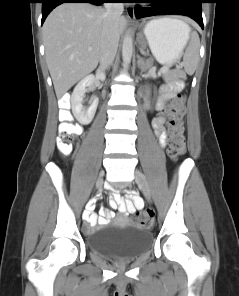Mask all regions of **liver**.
Returning a JSON list of instances; mask_svg holds the SVG:
<instances>
[{
  "label": "liver",
  "mask_w": 239,
  "mask_h": 296,
  "mask_svg": "<svg viewBox=\"0 0 239 296\" xmlns=\"http://www.w3.org/2000/svg\"><path fill=\"white\" fill-rule=\"evenodd\" d=\"M106 24L105 9L90 3H64L48 15L43 42L58 98L97 67ZM126 24L124 17L118 20L119 35Z\"/></svg>",
  "instance_id": "obj_1"
}]
</instances>
